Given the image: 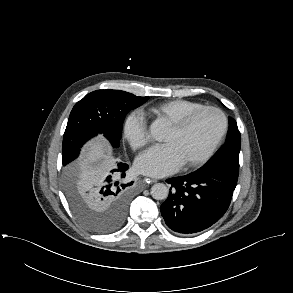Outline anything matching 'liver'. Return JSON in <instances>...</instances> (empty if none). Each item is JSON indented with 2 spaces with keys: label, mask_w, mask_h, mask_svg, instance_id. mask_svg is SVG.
Masks as SVG:
<instances>
[{
  "label": "liver",
  "mask_w": 293,
  "mask_h": 293,
  "mask_svg": "<svg viewBox=\"0 0 293 293\" xmlns=\"http://www.w3.org/2000/svg\"><path fill=\"white\" fill-rule=\"evenodd\" d=\"M106 144L103 141H96L89 144L86 150L84 162L87 165L98 163L102 159H108Z\"/></svg>",
  "instance_id": "1"
}]
</instances>
